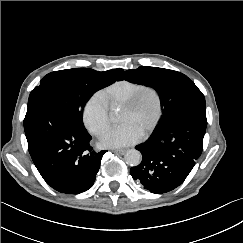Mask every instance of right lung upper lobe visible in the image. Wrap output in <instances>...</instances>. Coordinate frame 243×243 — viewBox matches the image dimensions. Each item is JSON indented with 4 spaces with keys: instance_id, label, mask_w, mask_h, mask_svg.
<instances>
[{
    "instance_id": "1",
    "label": "right lung upper lobe",
    "mask_w": 243,
    "mask_h": 243,
    "mask_svg": "<svg viewBox=\"0 0 243 243\" xmlns=\"http://www.w3.org/2000/svg\"><path fill=\"white\" fill-rule=\"evenodd\" d=\"M88 71H95L93 69H86ZM98 74H101L103 76H106L108 78L112 79V83L114 81H116V79L118 78V76L123 72V69H113V70H108V71H104V72H99V71H95Z\"/></svg>"
}]
</instances>
